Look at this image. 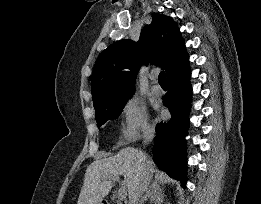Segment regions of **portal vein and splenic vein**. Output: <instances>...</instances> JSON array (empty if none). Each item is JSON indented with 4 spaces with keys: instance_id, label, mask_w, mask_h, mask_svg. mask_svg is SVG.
<instances>
[{
    "instance_id": "obj_1",
    "label": "portal vein and splenic vein",
    "mask_w": 261,
    "mask_h": 204,
    "mask_svg": "<svg viewBox=\"0 0 261 204\" xmlns=\"http://www.w3.org/2000/svg\"><path fill=\"white\" fill-rule=\"evenodd\" d=\"M108 179L119 182L121 187L118 190V199L124 200L126 198V195H127V189L122 183H120L119 177L118 176H109Z\"/></svg>"
}]
</instances>
